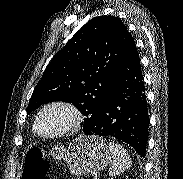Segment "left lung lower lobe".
<instances>
[{
  "label": "left lung lower lobe",
  "mask_w": 183,
  "mask_h": 179,
  "mask_svg": "<svg viewBox=\"0 0 183 179\" xmlns=\"http://www.w3.org/2000/svg\"><path fill=\"white\" fill-rule=\"evenodd\" d=\"M149 115L139 54L128 34L125 48L112 81L108 99L87 133L116 138L145 157Z\"/></svg>",
  "instance_id": "left-lung-lower-lobe-1"
}]
</instances>
